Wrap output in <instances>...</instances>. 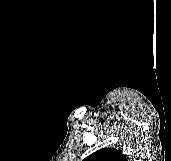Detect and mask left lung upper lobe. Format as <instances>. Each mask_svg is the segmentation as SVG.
<instances>
[{
  "mask_svg": "<svg viewBox=\"0 0 171 161\" xmlns=\"http://www.w3.org/2000/svg\"><path fill=\"white\" fill-rule=\"evenodd\" d=\"M83 161H127V158L119 150L104 148L86 157Z\"/></svg>",
  "mask_w": 171,
  "mask_h": 161,
  "instance_id": "1",
  "label": "left lung upper lobe"
}]
</instances>
